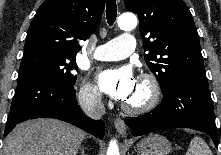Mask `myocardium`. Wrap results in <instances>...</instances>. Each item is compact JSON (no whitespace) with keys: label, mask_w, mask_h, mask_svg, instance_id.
<instances>
[{"label":"myocardium","mask_w":221,"mask_h":155,"mask_svg":"<svg viewBox=\"0 0 221 155\" xmlns=\"http://www.w3.org/2000/svg\"><path fill=\"white\" fill-rule=\"evenodd\" d=\"M138 81L143 83L148 89V95L144 102L138 105H131L127 103L122 104L125 112L130 114H143L152 110L160 99V85L156 77L150 73H141L138 76Z\"/></svg>","instance_id":"f54148a6"}]
</instances>
